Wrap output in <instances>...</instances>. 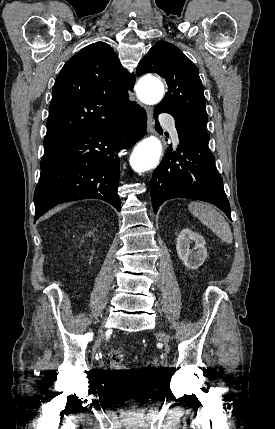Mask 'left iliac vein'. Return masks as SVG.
Masks as SVG:
<instances>
[{
	"mask_svg": "<svg viewBox=\"0 0 275 429\" xmlns=\"http://www.w3.org/2000/svg\"><path fill=\"white\" fill-rule=\"evenodd\" d=\"M163 339H164V341L166 340V335L165 334H163Z\"/></svg>",
	"mask_w": 275,
	"mask_h": 429,
	"instance_id": "obj_1",
	"label": "left iliac vein"
}]
</instances>
